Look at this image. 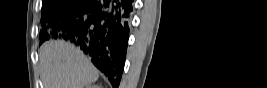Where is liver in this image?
I'll return each mask as SVG.
<instances>
[{"instance_id":"6515ba94","label":"liver","mask_w":267,"mask_h":88,"mask_svg":"<svg viewBox=\"0 0 267 88\" xmlns=\"http://www.w3.org/2000/svg\"><path fill=\"white\" fill-rule=\"evenodd\" d=\"M39 62L44 88H84L99 77L98 70L83 52L62 40L43 43Z\"/></svg>"}]
</instances>
